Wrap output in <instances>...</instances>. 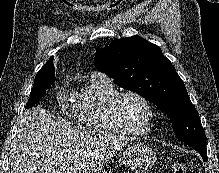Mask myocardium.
I'll return each instance as SVG.
<instances>
[{"mask_svg":"<svg viewBox=\"0 0 219 173\" xmlns=\"http://www.w3.org/2000/svg\"><path fill=\"white\" fill-rule=\"evenodd\" d=\"M126 97H135L139 100H141L144 105L146 106L149 117H148V122L145 127V129L141 131H133L127 129L121 122L120 115H119V109L121 102L123 101L124 98ZM108 116L113 124V126L123 135L133 137V138H138V137H144L148 135L152 129H153V124L155 120V108L152 104V102L142 93L133 91V90H126L122 92H118L108 103Z\"/></svg>","mask_w":219,"mask_h":173,"instance_id":"obj_1","label":"myocardium"}]
</instances>
